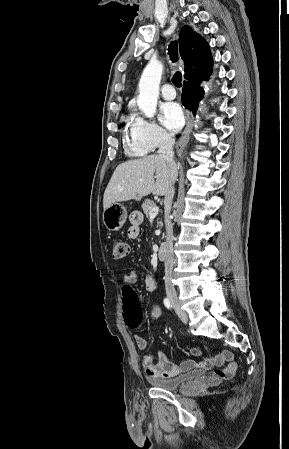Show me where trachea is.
<instances>
[{
    "label": "trachea",
    "mask_w": 289,
    "mask_h": 449,
    "mask_svg": "<svg viewBox=\"0 0 289 449\" xmlns=\"http://www.w3.org/2000/svg\"><path fill=\"white\" fill-rule=\"evenodd\" d=\"M168 54L172 62L178 61V45L176 41L170 43L168 48ZM172 82L176 87L182 86V74L180 72H176L173 75Z\"/></svg>",
    "instance_id": "trachea-1"
}]
</instances>
